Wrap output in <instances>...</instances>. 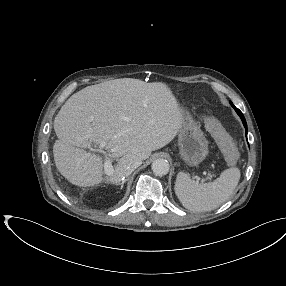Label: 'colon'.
<instances>
[{"mask_svg":"<svg viewBox=\"0 0 286 286\" xmlns=\"http://www.w3.org/2000/svg\"><path fill=\"white\" fill-rule=\"evenodd\" d=\"M205 126L220 147L226 162L229 165L235 164L238 160L237 148L225 128L212 117L205 119Z\"/></svg>","mask_w":286,"mask_h":286,"instance_id":"obj_1","label":"colon"}]
</instances>
